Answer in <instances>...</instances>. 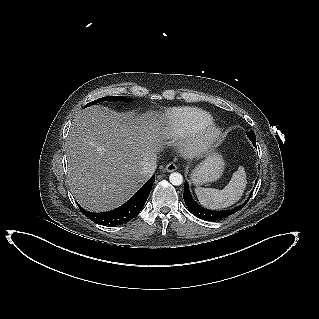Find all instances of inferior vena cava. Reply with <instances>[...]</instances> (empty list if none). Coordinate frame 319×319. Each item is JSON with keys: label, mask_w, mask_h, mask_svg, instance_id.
I'll return each instance as SVG.
<instances>
[{"label": "inferior vena cava", "mask_w": 319, "mask_h": 319, "mask_svg": "<svg viewBox=\"0 0 319 319\" xmlns=\"http://www.w3.org/2000/svg\"><path fill=\"white\" fill-rule=\"evenodd\" d=\"M141 167L143 173L152 175L157 167V155L153 153L145 157L141 162Z\"/></svg>", "instance_id": "602c4592"}]
</instances>
